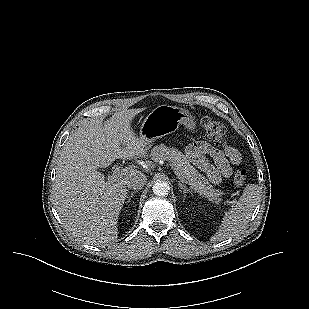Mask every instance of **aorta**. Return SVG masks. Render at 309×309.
<instances>
[{
  "mask_svg": "<svg viewBox=\"0 0 309 309\" xmlns=\"http://www.w3.org/2000/svg\"><path fill=\"white\" fill-rule=\"evenodd\" d=\"M153 193L157 196H166L169 193L170 187L167 182L159 181L155 182L152 187Z\"/></svg>",
  "mask_w": 309,
  "mask_h": 309,
  "instance_id": "1",
  "label": "aorta"
}]
</instances>
